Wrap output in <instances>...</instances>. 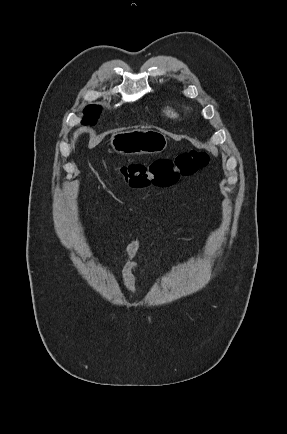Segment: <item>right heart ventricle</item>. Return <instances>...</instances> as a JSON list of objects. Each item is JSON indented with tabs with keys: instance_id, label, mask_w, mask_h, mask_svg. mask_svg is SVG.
<instances>
[{
	"instance_id": "obj_1",
	"label": "right heart ventricle",
	"mask_w": 287,
	"mask_h": 434,
	"mask_svg": "<svg viewBox=\"0 0 287 434\" xmlns=\"http://www.w3.org/2000/svg\"><path fill=\"white\" fill-rule=\"evenodd\" d=\"M165 113H166L168 116H170V117H175V116H176V112H175V110H174L172 107H170V106H166V107H165Z\"/></svg>"
}]
</instances>
